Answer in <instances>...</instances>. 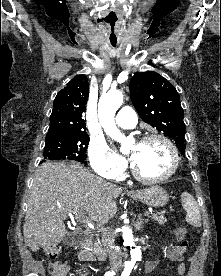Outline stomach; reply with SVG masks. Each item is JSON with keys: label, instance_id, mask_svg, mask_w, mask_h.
I'll use <instances>...</instances> for the list:
<instances>
[{"label": "stomach", "instance_id": "0dacf381", "mask_svg": "<svg viewBox=\"0 0 221 276\" xmlns=\"http://www.w3.org/2000/svg\"><path fill=\"white\" fill-rule=\"evenodd\" d=\"M131 198L151 207H162L168 202L169 194L162 187L151 186L140 191L132 192Z\"/></svg>", "mask_w": 221, "mask_h": 276}]
</instances>
